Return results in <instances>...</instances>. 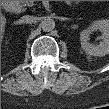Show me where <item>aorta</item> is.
I'll return each instance as SVG.
<instances>
[{
	"mask_svg": "<svg viewBox=\"0 0 109 109\" xmlns=\"http://www.w3.org/2000/svg\"><path fill=\"white\" fill-rule=\"evenodd\" d=\"M40 26H41L43 31L51 32L55 28V21L52 18L47 17V18L43 19Z\"/></svg>",
	"mask_w": 109,
	"mask_h": 109,
	"instance_id": "762f6f07",
	"label": "aorta"
}]
</instances>
